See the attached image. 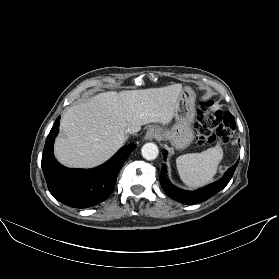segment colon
<instances>
[{
  "mask_svg": "<svg viewBox=\"0 0 279 279\" xmlns=\"http://www.w3.org/2000/svg\"><path fill=\"white\" fill-rule=\"evenodd\" d=\"M198 145H208L216 141L227 142L233 135V116L215 108L213 101H204L193 123Z\"/></svg>",
  "mask_w": 279,
  "mask_h": 279,
  "instance_id": "1",
  "label": "colon"
}]
</instances>
